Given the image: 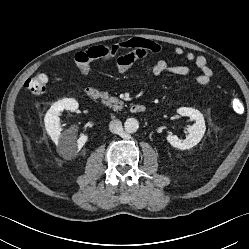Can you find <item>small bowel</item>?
Listing matches in <instances>:
<instances>
[{
  "label": "small bowel",
  "instance_id": "1",
  "mask_svg": "<svg viewBox=\"0 0 249 249\" xmlns=\"http://www.w3.org/2000/svg\"><path fill=\"white\" fill-rule=\"evenodd\" d=\"M113 47L118 48L119 55L116 59V67L119 73L128 71L133 64L148 54H158L162 48L154 41L147 39H131L124 42L116 43ZM109 48L97 46L89 48L85 51L78 52L75 55L76 66L82 76H88L91 71V63L95 59L103 58L101 56L92 57L93 53L101 54ZM178 56L184 55L186 61L193 62L200 74L196 76L195 81L200 86L207 85L212 76L213 71L209 67L207 59L202 55H195L193 52L185 53L182 47H176L174 50ZM192 69L187 65H169L165 60H159L148 68V74L156 79L163 74H172L178 76H187L191 74Z\"/></svg>",
  "mask_w": 249,
  "mask_h": 249
}]
</instances>
